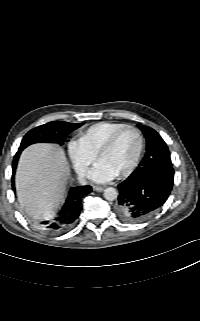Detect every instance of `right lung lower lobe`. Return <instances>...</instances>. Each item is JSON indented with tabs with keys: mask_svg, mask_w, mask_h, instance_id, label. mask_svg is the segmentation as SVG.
<instances>
[{
	"mask_svg": "<svg viewBox=\"0 0 200 321\" xmlns=\"http://www.w3.org/2000/svg\"><path fill=\"white\" fill-rule=\"evenodd\" d=\"M20 153H16L12 164V183ZM14 187V184H13ZM14 189V188H13ZM89 185L72 187L59 213L52 219L43 221L42 227L50 233H58L69 228L78 218L82 209V198L91 192Z\"/></svg>",
	"mask_w": 200,
	"mask_h": 321,
	"instance_id": "1",
	"label": "right lung lower lobe"
}]
</instances>
